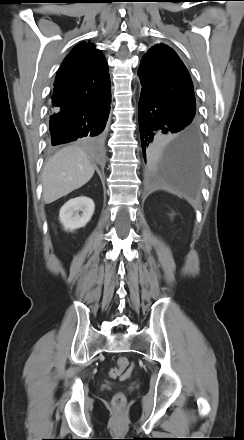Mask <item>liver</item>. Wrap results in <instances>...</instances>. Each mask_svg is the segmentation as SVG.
Returning <instances> with one entry per match:
<instances>
[{
	"label": "liver",
	"mask_w": 244,
	"mask_h": 440,
	"mask_svg": "<svg viewBox=\"0 0 244 440\" xmlns=\"http://www.w3.org/2000/svg\"><path fill=\"white\" fill-rule=\"evenodd\" d=\"M94 175L87 153L78 146L57 151L42 172L43 199L46 204L68 195L85 185Z\"/></svg>",
	"instance_id": "6515ba94"
}]
</instances>
